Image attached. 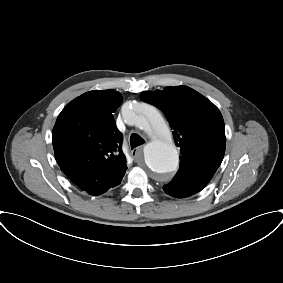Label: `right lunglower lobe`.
<instances>
[{
	"instance_id": "98d812e1",
	"label": "right lung lower lobe",
	"mask_w": 283,
	"mask_h": 283,
	"mask_svg": "<svg viewBox=\"0 0 283 283\" xmlns=\"http://www.w3.org/2000/svg\"><path fill=\"white\" fill-rule=\"evenodd\" d=\"M66 166L67 165H64V167H66ZM60 167H61V165H60ZM67 167H69V166H67ZM120 182H117V183L111 185L110 187H108V186H101L98 183H93L85 190L88 193L92 194V195H99V194L104 193L105 191H107L109 188L115 187V186L119 185Z\"/></svg>"
}]
</instances>
